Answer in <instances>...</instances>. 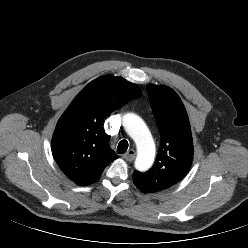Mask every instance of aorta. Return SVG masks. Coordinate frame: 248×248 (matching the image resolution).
Returning a JSON list of instances; mask_svg holds the SVG:
<instances>
[{"label":"aorta","mask_w":248,"mask_h":248,"mask_svg":"<svg viewBox=\"0 0 248 248\" xmlns=\"http://www.w3.org/2000/svg\"><path fill=\"white\" fill-rule=\"evenodd\" d=\"M123 126L134 140L137 148L135 167L140 171L148 170L155 158V143L145 122L136 114L125 115Z\"/></svg>","instance_id":"762f6f07"}]
</instances>
